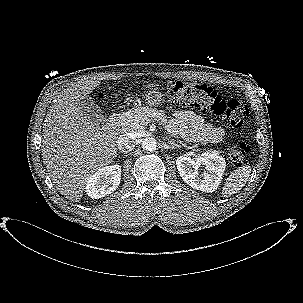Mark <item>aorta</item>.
Here are the masks:
<instances>
[{"mask_svg": "<svg viewBox=\"0 0 303 303\" xmlns=\"http://www.w3.org/2000/svg\"><path fill=\"white\" fill-rule=\"evenodd\" d=\"M142 148H143V150L152 152V151L156 150L157 142L152 137H146L142 141Z\"/></svg>", "mask_w": 303, "mask_h": 303, "instance_id": "aorta-1", "label": "aorta"}]
</instances>
